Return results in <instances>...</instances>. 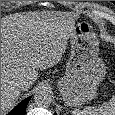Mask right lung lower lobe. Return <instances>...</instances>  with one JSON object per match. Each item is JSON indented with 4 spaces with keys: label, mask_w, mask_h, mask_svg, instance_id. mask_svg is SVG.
Masks as SVG:
<instances>
[{
    "label": "right lung lower lobe",
    "mask_w": 115,
    "mask_h": 115,
    "mask_svg": "<svg viewBox=\"0 0 115 115\" xmlns=\"http://www.w3.org/2000/svg\"><path fill=\"white\" fill-rule=\"evenodd\" d=\"M31 97L24 99L7 115H25L26 107Z\"/></svg>",
    "instance_id": "98d812e1"
}]
</instances>
